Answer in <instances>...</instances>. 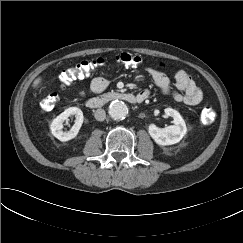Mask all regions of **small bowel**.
Returning a JSON list of instances; mask_svg holds the SVG:
<instances>
[{"label":"small bowel","instance_id":"1","mask_svg":"<svg viewBox=\"0 0 243 243\" xmlns=\"http://www.w3.org/2000/svg\"><path fill=\"white\" fill-rule=\"evenodd\" d=\"M146 71L162 93H170V80L165 73L153 68H148ZM174 79L176 90L172 93V97L176 102L191 106L201 102L202 92L187 72L184 70L177 71ZM108 84L107 76H98L91 81L88 91L92 93L102 92ZM86 94L87 92L84 89L80 90L81 97H85ZM139 95L147 99L150 96V91L148 89L142 90Z\"/></svg>","mask_w":243,"mask_h":243}]
</instances>
